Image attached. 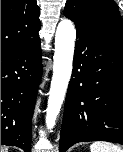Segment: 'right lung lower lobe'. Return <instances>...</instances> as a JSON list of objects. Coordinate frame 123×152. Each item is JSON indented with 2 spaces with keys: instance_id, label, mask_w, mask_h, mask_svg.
Wrapping results in <instances>:
<instances>
[{
  "instance_id": "obj_1",
  "label": "right lung lower lobe",
  "mask_w": 123,
  "mask_h": 152,
  "mask_svg": "<svg viewBox=\"0 0 123 152\" xmlns=\"http://www.w3.org/2000/svg\"><path fill=\"white\" fill-rule=\"evenodd\" d=\"M40 40L1 52V145L31 151V121L41 81Z\"/></svg>"
}]
</instances>
